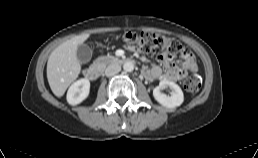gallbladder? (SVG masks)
Segmentation results:
<instances>
[{"label":"gallbladder","instance_id":"bac80fb5","mask_svg":"<svg viewBox=\"0 0 258 158\" xmlns=\"http://www.w3.org/2000/svg\"><path fill=\"white\" fill-rule=\"evenodd\" d=\"M76 54L81 63H87L91 60L92 50L87 44H81L78 46Z\"/></svg>","mask_w":258,"mask_h":158}]
</instances>
